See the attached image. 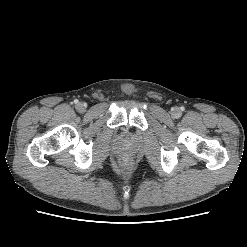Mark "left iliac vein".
<instances>
[{"instance_id":"left-iliac-vein-1","label":"left iliac vein","mask_w":247,"mask_h":247,"mask_svg":"<svg viewBox=\"0 0 247 247\" xmlns=\"http://www.w3.org/2000/svg\"><path fill=\"white\" fill-rule=\"evenodd\" d=\"M178 115H180L179 110H178V109H174V110L172 111V116H173V117H178Z\"/></svg>"}]
</instances>
